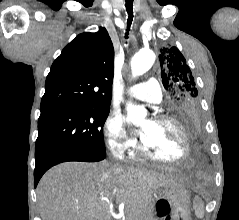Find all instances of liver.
<instances>
[{
  "mask_svg": "<svg viewBox=\"0 0 239 220\" xmlns=\"http://www.w3.org/2000/svg\"><path fill=\"white\" fill-rule=\"evenodd\" d=\"M187 178L143 168L99 163H61L37 187L42 220H112L110 202H123L126 216L148 220L152 193L159 187L182 186Z\"/></svg>",
  "mask_w": 239,
  "mask_h": 220,
  "instance_id": "obj_1",
  "label": "liver"
}]
</instances>
